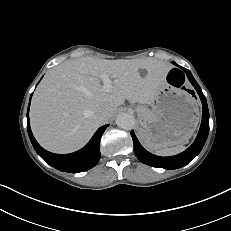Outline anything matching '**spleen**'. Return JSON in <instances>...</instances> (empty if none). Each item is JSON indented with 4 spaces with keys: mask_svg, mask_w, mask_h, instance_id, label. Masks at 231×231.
<instances>
[{
    "mask_svg": "<svg viewBox=\"0 0 231 231\" xmlns=\"http://www.w3.org/2000/svg\"><path fill=\"white\" fill-rule=\"evenodd\" d=\"M184 150H185V146L181 144L174 147H168V148L156 150L155 153L160 156H171V155L178 154Z\"/></svg>",
    "mask_w": 231,
    "mask_h": 231,
    "instance_id": "3e777b00",
    "label": "spleen"
}]
</instances>
